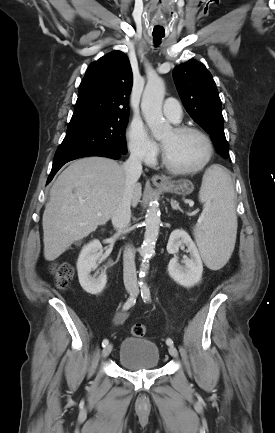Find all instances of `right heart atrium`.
Here are the masks:
<instances>
[{"mask_svg":"<svg viewBox=\"0 0 275 433\" xmlns=\"http://www.w3.org/2000/svg\"><path fill=\"white\" fill-rule=\"evenodd\" d=\"M131 155L142 162L152 163L158 155V146L141 121H133L127 131Z\"/></svg>","mask_w":275,"mask_h":433,"instance_id":"1","label":"right heart atrium"}]
</instances>
